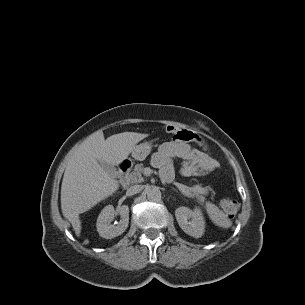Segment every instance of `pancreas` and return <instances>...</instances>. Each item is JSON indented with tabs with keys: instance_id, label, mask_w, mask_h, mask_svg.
<instances>
[{
	"instance_id": "pancreas-1",
	"label": "pancreas",
	"mask_w": 305,
	"mask_h": 305,
	"mask_svg": "<svg viewBox=\"0 0 305 305\" xmlns=\"http://www.w3.org/2000/svg\"><path fill=\"white\" fill-rule=\"evenodd\" d=\"M144 166L142 163L135 165L134 170L128 175V178L131 183H141L144 181L142 173L144 172ZM178 189L182 192L183 195L189 198H196L200 203L205 201L203 196L208 192V189L202 187L201 185H194L188 187L186 185L177 183Z\"/></svg>"
}]
</instances>
